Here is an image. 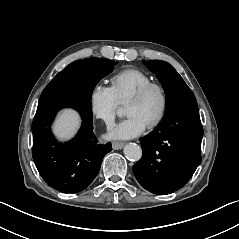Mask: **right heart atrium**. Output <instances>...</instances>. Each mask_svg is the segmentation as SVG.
I'll return each mask as SVG.
<instances>
[{
	"mask_svg": "<svg viewBox=\"0 0 239 239\" xmlns=\"http://www.w3.org/2000/svg\"><path fill=\"white\" fill-rule=\"evenodd\" d=\"M88 101L93 117L102 119L108 125L112 124L121 105L112 86L95 83L90 88Z\"/></svg>",
	"mask_w": 239,
	"mask_h": 239,
	"instance_id": "d8ad5b80",
	"label": "right heart atrium"
}]
</instances>
